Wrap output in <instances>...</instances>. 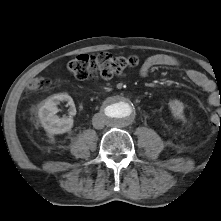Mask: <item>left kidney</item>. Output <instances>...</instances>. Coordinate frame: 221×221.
Instances as JSON below:
<instances>
[{
  "mask_svg": "<svg viewBox=\"0 0 221 221\" xmlns=\"http://www.w3.org/2000/svg\"><path fill=\"white\" fill-rule=\"evenodd\" d=\"M169 108L174 118L181 119V120L184 119V114H183L184 105L182 102L178 100H172L169 102Z\"/></svg>",
  "mask_w": 221,
  "mask_h": 221,
  "instance_id": "1",
  "label": "left kidney"
}]
</instances>
